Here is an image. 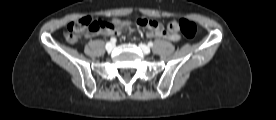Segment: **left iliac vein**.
I'll use <instances>...</instances> for the list:
<instances>
[{
  "instance_id": "1",
  "label": "left iliac vein",
  "mask_w": 276,
  "mask_h": 120,
  "mask_svg": "<svg viewBox=\"0 0 276 120\" xmlns=\"http://www.w3.org/2000/svg\"><path fill=\"white\" fill-rule=\"evenodd\" d=\"M139 48L141 49V51L144 53V54H149L150 53V48L144 44H140L139 45Z\"/></svg>"
}]
</instances>
